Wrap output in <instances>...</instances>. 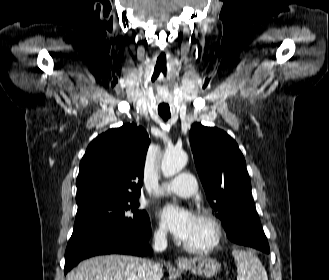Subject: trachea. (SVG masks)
Instances as JSON below:
<instances>
[{
	"label": "trachea",
	"instance_id": "obj_1",
	"mask_svg": "<svg viewBox=\"0 0 329 280\" xmlns=\"http://www.w3.org/2000/svg\"><path fill=\"white\" fill-rule=\"evenodd\" d=\"M159 115L164 121H167L170 118V114L159 113Z\"/></svg>",
	"mask_w": 329,
	"mask_h": 280
}]
</instances>
